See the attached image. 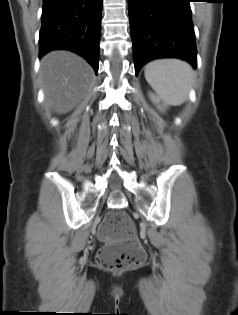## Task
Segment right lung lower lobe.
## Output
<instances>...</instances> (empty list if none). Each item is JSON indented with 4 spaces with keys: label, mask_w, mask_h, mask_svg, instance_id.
<instances>
[{
    "label": "right lung lower lobe",
    "mask_w": 238,
    "mask_h": 315,
    "mask_svg": "<svg viewBox=\"0 0 238 315\" xmlns=\"http://www.w3.org/2000/svg\"><path fill=\"white\" fill-rule=\"evenodd\" d=\"M102 0H43L39 57L56 49L84 57L98 72Z\"/></svg>",
    "instance_id": "1"
}]
</instances>
